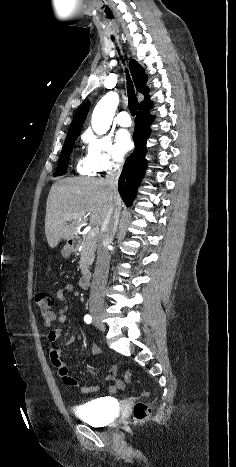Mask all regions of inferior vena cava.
I'll return each mask as SVG.
<instances>
[{
  "label": "inferior vena cava",
  "instance_id": "obj_1",
  "mask_svg": "<svg viewBox=\"0 0 236 467\" xmlns=\"http://www.w3.org/2000/svg\"><path fill=\"white\" fill-rule=\"evenodd\" d=\"M120 173V164H115L107 171L105 179L111 191V203L98 238L97 260L90 290V307H102L104 302V290L110 263L109 245L113 241L120 218V207L113 201L119 197L118 179Z\"/></svg>",
  "mask_w": 236,
  "mask_h": 467
}]
</instances>
